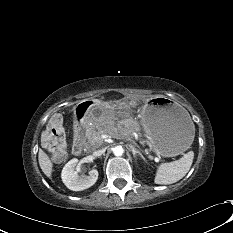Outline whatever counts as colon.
Segmentation results:
<instances>
[{"label":"colon","instance_id":"5ec220e1","mask_svg":"<svg viewBox=\"0 0 233 233\" xmlns=\"http://www.w3.org/2000/svg\"><path fill=\"white\" fill-rule=\"evenodd\" d=\"M44 143L55 163H62L67 158V142L60 114H54L47 125Z\"/></svg>","mask_w":233,"mask_h":233}]
</instances>
